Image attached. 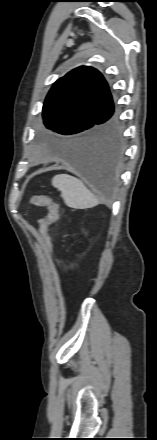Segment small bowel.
<instances>
[{
    "label": "small bowel",
    "instance_id": "1",
    "mask_svg": "<svg viewBox=\"0 0 157 440\" xmlns=\"http://www.w3.org/2000/svg\"><path fill=\"white\" fill-rule=\"evenodd\" d=\"M39 222L42 224L45 222V219H41V220H39Z\"/></svg>",
    "mask_w": 157,
    "mask_h": 440
}]
</instances>
